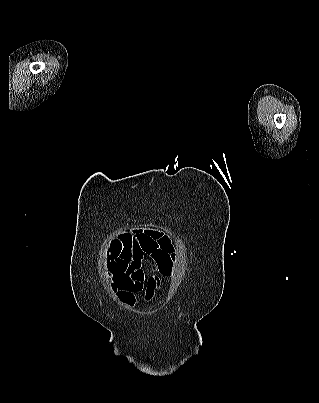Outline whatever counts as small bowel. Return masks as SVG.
I'll list each match as a JSON object with an SVG mask.
<instances>
[{
  "label": "small bowel",
  "instance_id": "small-bowel-1",
  "mask_svg": "<svg viewBox=\"0 0 319 403\" xmlns=\"http://www.w3.org/2000/svg\"><path fill=\"white\" fill-rule=\"evenodd\" d=\"M102 249L106 253L103 263L105 274L122 300L129 305L136 303V294L140 291L145 290L149 299L159 286L156 277L145 281L144 257L155 263L162 276H171L181 264V255L173 250L169 236L157 230L131 233L126 225H117L112 235L102 240Z\"/></svg>",
  "mask_w": 319,
  "mask_h": 403
}]
</instances>
